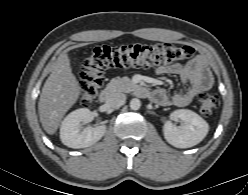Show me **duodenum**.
I'll return each mask as SVG.
<instances>
[{"label":"duodenum","instance_id":"duodenum-1","mask_svg":"<svg viewBox=\"0 0 248 195\" xmlns=\"http://www.w3.org/2000/svg\"><path fill=\"white\" fill-rule=\"evenodd\" d=\"M133 92L136 96L143 98L149 97L151 95L147 87L139 84L134 86ZM114 93L115 91L111 87L103 88L99 93V100L102 103H110L114 97Z\"/></svg>","mask_w":248,"mask_h":195}]
</instances>
